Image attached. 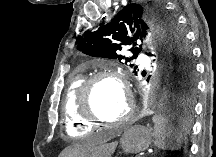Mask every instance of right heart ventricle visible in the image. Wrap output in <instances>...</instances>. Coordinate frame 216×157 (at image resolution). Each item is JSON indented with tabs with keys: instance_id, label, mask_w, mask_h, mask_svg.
<instances>
[{
	"instance_id": "obj_1",
	"label": "right heart ventricle",
	"mask_w": 216,
	"mask_h": 157,
	"mask_svg": "<svg viewBox=\"0 0 216 157\" xmlns=\"http://www.w3.org/2000/svg\"><path fill=\"white\" fill-rule=\"evenodd\" d=\"M84 80L81 74L71 76L61 101L64 130L71 137H82L93 130V125L80 116L76 105L78 90Z\"/></svg>"
}]
</instances>
